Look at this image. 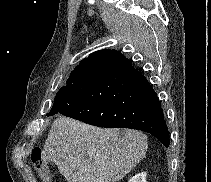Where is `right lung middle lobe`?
<instances>
[{
    "mask_svg": "<svg viewBox=\"0 0 211 182\" xmlns=\"http://www.w3.org/2000/svg\"><path fill=\"white\" fill-rule=\"evenodd\" d=\"M83 70L82 67H75V69L71 72L69 78L66 81V86L62 87L56 94L55 100H54V105L53 108L51 109V111L49 112L48 115H53L54 110H55V104L58 100L64 99L66 98L70 92L75 88L77 79L79 77V75L81 74V71Z\"/></svg>",
    "mask_w": 211,
    "mask_h": 182,
    "instance_id": "obj_1",
    "label": "right lung middle lobe"
}]
</instances>
